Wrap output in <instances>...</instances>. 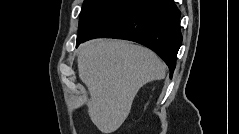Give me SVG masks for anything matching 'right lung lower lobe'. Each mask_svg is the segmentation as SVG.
Wrapping results in <instances>:
<instances>
[{
  "mask_svg": "<svg viewBox=\"0 0 239 134\" xmlns=\"http://www.w3.org/2000/svg\"><path fill=\"white\" fill-rule=\"evenodd\" d=\"M180 16L173 0H123L87 35L77 38L76 47L99 37L135 41L156 52L168 65L172 77L182 43Z\"/></svg>",
  "mask_w": 239,
  "mask_h": 134,
  "instance_id": "98d812e1",
  "label": "right lung lower lobe"
}]
</instances>
